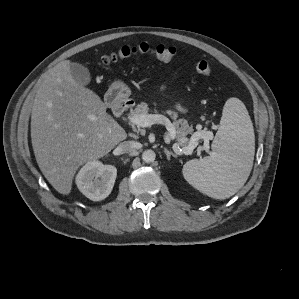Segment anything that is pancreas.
Here are the masks:
<instances>
[{"label": "pancreas", "instance_id": "pancreas-1", "mask_svg": "<svg viewBox=\"0 0 299 299\" xmlns=\"http://www.w3.org/2000/svg\"><path fill=\"white\" fill-rule=\"evenodd\" d=\"M150 111V108L148 107V104L145 102H142L138 104L134 110H131L129 113L128 118L134 117L136 115L140 114H148ZM164 114H168L173 119V125L176 130L175 139L177 140V144L181 147H186L191 143V140H188L186 137L188 134H191L193 132V127L188 124V122L185 119H177L178 113L173 110H166L163 111ZM135 131L140 132L141 134L144 133L143 129L135 127V125H132ZM199 138H203V135L198 136L195 139V143Z\"/></svg>", "mask_w": 299, "mask_h": 299}]
</instances>
